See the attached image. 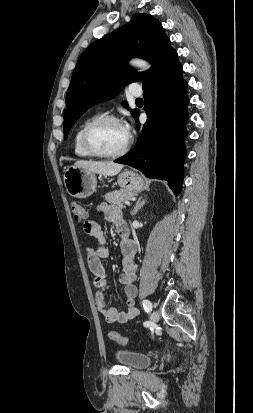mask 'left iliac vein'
I'll return each mask as SVG.
<instances>
[{
	"label": "left iliac vein",
	"instance_id": "obj_1",
	"mask_svg": "<svg viewBox=\"0 0 253 413\" xmlns=\"http://www.w3.org/2000/svg\"><path fill=\"white\" fill-rule=\"evenodd\" d=\"M150 319H151V324H152V325H155V324L157 323V321L159 320V314H158V312H157V311H153V312L151 313Z\"/></svg>",
	"mask_w": 253,
	"mask_h": 413
}]
</instances>
